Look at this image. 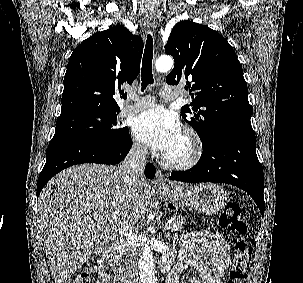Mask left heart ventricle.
Listing matches in <instances>:
<instances>
[{"instance_id":"1","label":"left heart ventricle","mask_w":303,"mask_h":283,"mask_svg":"<svg viewBox=\"0 0 303 283\" xmlns=\"http://www.w3.org/2000/svg\"><path fill=\"white\" fill-rule=\"evenodd\" d=\"M187 152H188V144L182 136L178 144L166 155L173 159H179L184 157L187 154Z\"/></svg>"}]
</instances>
